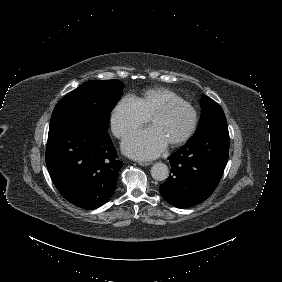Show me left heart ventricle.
I'll list each match as a JSON object with an SVG mask.
<instances>
[{"mask_svg":"<svg viewBox=\"0 0 282 282\" xmlns=\"http://www.w3.org/2000/svg\"><path fill=\"white\" fill-rule=\"evenodd\" d=\"M171 101V99L163 100L157 110L164 108ZM188 123V113L184 109H175L164 116L154 118L152 126L157 127L164 135L167 142H170L184 133Z\"/></svg>","mask_w":282,"mask_h":282,"instance_id":"b2bd125f","label":"left heart ventricle"}]
</instances>
